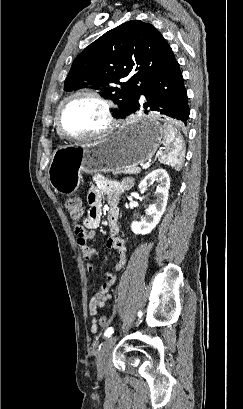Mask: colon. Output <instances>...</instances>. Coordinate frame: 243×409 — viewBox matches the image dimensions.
Instances as JSON below:
<instances>
[{
  "instance_id": "1",
  "label": "colon",
  "mask_w": 243,
  "mask_h": 409,
  "mask_svg": "<svg viewBox=\"0 0 243 409\" xmlns=\"http://www.w3.org/2000/svg\"><path fill=\"white\" fill-rule=\"evenodd\" d=\"M65 207L69 216L75 222V233L77 234V236H85L87 230L85 229L84 225L80 223V221L83 219L84 214L82 202L78 198H68L65 202ZM98 324L101 327H107L109 321L107 317L101 316L98 320Z\"/></svg>"
}]
</instances>
